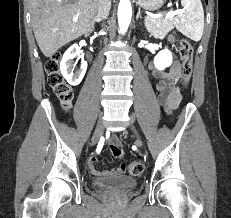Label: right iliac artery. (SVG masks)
Instances as JSON below:
<instances>
[{
  "label": "right iliac artery",
  "instance_id": "right-iliac-artery-1",
  "mask_svg": "<svg viewBox=\"0 0 231 218\" xmlns=\"http://www.w3.org/2000/svg\"><path fill=\"white\" fill-rule=\"evenodd\" d=\"M103 144H104V139L101 138L98 144V147H97V153H100V151L102 150Z\"/></svg>",
  "mask_w": 231,
  "mask_h": 218
}]
</instances>
